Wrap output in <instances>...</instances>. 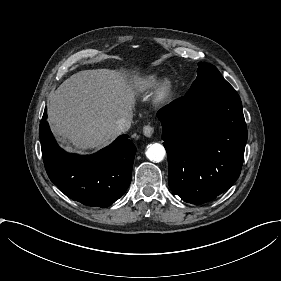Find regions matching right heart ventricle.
<instances>
[{
    "mask_svg": "<svg viewBox=\"0 0 281 281\" xmlns=\"http://www.w3.org/2000/svg\"><path fill=\"white\" fill-rule=\"evenodd\" d=\"M155 80H156V79H155L154 77H150V78H149L150 83H154Z\"/></svg>",
    "mask_w": 281,
    "mask_h": 281,
    "instance_id": "1",
    "label": "right heart ventricle"
}]
</instances>
